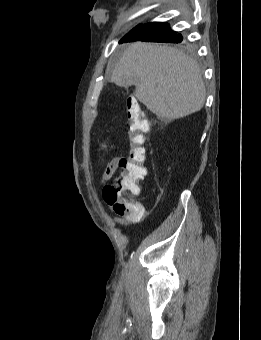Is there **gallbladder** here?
I'll list each match as a JSON object with an SVG mask.
<instances>
[{
    "label": "gallbladder",
    "instance_id": "bac80fb5",
    "mask_svg": "<svg viewBox=\"0 0 261 340\" xmlns=\"http://www.w3.org/2000/svg\"><path fill=\"white\" fill-rule=\"evenodd\" d=\"M131 85H132V84H130V83H129V84H126L127 87H128V86H131Z\"/></svg>",
    "mask_w": 261,
    "mask_h": 340
}]
</instances>
